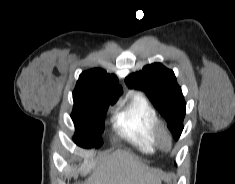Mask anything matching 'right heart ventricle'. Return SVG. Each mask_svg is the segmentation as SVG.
Returning a JSON list of instances; mask_svg holds the SVG:
<instances>
[{"mask_svg":"<svg viewBox=\"0 0 235 184\" xmlns=\"http://www.w3.org/2000/svg\"><path fill=\"white\" fill-rule=\"evenodd\" d=\"M114 124L121 137L133 146L144 152H154L157 149L154 133L158 118L151 103L143 96L137 95L117 108ZM115 158L123 160L126 155L117 153Z\"/></svg>","mask_w":235,"mask_h":184,"instance_id":"1","label":"right heart ventricle"}]
</instances>
